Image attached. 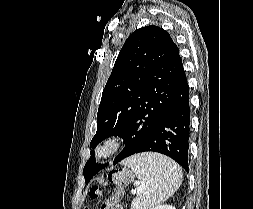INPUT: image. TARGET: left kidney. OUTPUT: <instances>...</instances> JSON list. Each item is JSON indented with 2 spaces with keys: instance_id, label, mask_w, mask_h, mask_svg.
I'll return each mask as SVG.
<instances>
[{
  "instance_id": "left-kidney-1",
  "label": "left kidney",
  "mask_w": 253,
  "mask_h": 209,
  "mask_svg": "<svg viewBox=\"0 0 253 209\" xmlns=\"http://www.w3.org/2000/svg\"><path fill=\"white\" fill-rule=\"evenodd\" d=\"M150 209H176V208L171 205H157L150 207Z\"/></svg>"
}]
</instances>
